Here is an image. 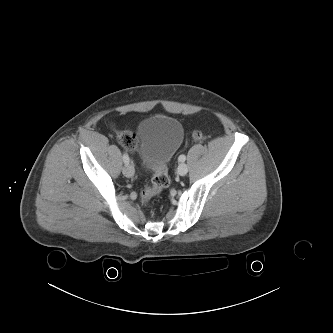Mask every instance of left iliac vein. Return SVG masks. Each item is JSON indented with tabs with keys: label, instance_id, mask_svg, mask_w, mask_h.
<instances>
[{
	"label": "left iliac vein",
	"instance_id": "1",
	"mask_svg": "<svg viewBox=\"0 0 333 333\" xmlns=\"http://www.w3.org/2000/svg\"><path fill=\"white\" fill-rule=\"evenodd\" d=\"M177 172L180 176H185L188 172V167L185 163H180L178 168H177Z\"/></svg>",
	"mask_w": 333,
	"mask_h": 333
}]
</instances>
